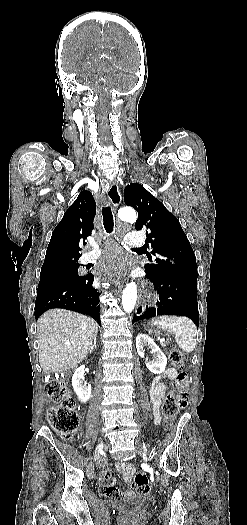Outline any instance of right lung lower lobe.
<instances>
[{
    "label": "right lung lower lobe",
    "mask_w": 247,
    "mask_h": 525,
    "mask_svg": "<svg viewBox=\"0 0 247 525\" xmlns=\"http://www.w3.org/2000/svg\"><path fill=\"white\" fill-rule=\"evenodd\" d=\"M92 274L78 279L60 280L48 283L37 289L35 318L46 310L64 308L93 317L99 324V293L92 287Z\"/></svg>",
    "instance_id": "right-lung-lower-lobe-1"
}]
</instances>
